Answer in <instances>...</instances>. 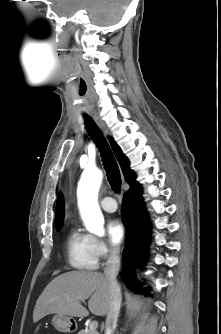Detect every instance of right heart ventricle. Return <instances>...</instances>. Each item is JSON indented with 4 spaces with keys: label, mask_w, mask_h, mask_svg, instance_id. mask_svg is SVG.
Masks as SVG:
<instances>
[{
    "label": "right heart ventricle",
    "mask_w": 221,
    "mask_h": 334,
    "mask_svg": "<svg viewBox=\"0 0 221 334\" xmlns=\"http://www.w3.org/2000/svg\"><path fill=\"white\" fill-rule=\"evenodd\" d=\"M65 248L71 267L82 271H92L98 267L92 236L71 227L66 236Z\"/></svg>",
    "instance_id": "1"
}]
</instances>
